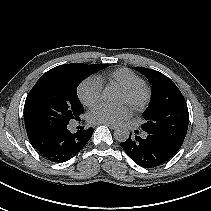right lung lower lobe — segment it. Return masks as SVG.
Returning <instances> with one entry per match:
<instances>
[{
  "instance_id": "obj_1",
  "label": "right lung lower lobe",
  "mask_w": 211,
  "mask_h": 211,
  "mask_svg": "<svg viewBox=\"0 0 211 211\" xmlns=\"http://www.w3.org/2000/svg\"><path fill=\"white\" fill-rule=\"evenodd\" d=\"M67 126L29 131L27 135L31 145L42 157L52 162H65L87 144L94 132L90 127L71 133Z\"/></svg>"
}]
</instances>
